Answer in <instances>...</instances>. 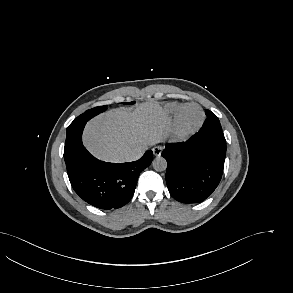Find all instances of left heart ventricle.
I'll return each mask as SVG.
<instances>
[{
  "mask_svg": "<svg viewBox=\"0 0 293 293\" xmlns=\"http://www.w3.org/2000/svg\"><path fill=\"white\" fill-rule=\"evenodd\" d=\"M201 118V113L196 107H189L183 113V122L186 126L196 125Z\"/></svg>",
  "mask_w": 293,
  "mask_h": 293,
  "instance_id": "1",
  "label": "left heart ventricle"
}]
</instances>
